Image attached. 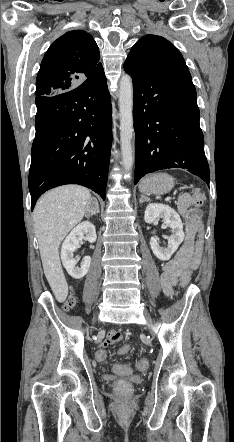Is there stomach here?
<instances>
[{"mask_svg":"<svg viewBox=\"0 0 234 442\" xmlns=\"http://www.w3.org/2000/svg\"><path fill=\"white\" fill-rule=\"evenodd\" d=\"M174 182V178L167 173H155L141 181L139 190L144 194L163 195L172 190Z\"/></svg>","mask_w":234,"mask_h":442,"instance_id":"0dacf381","label":"stomach"}]
</instances>
